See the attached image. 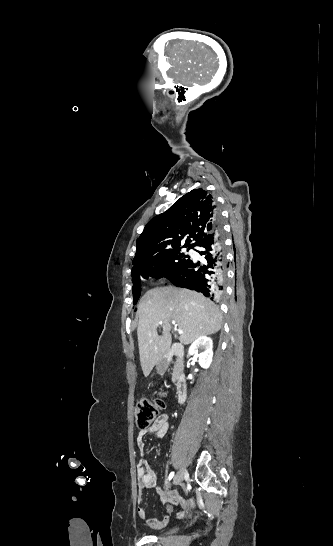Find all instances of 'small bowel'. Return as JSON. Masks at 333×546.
Instances as JSON below:
<instances>
[{
	"instance_id": "small-bowel-1",
	"label": "small bowel",
	"mask_w": 333,
	"mask_h": 546,
	"mask_svg": "<svg viewBox=\"0 0 333 546\" xmlns=\"http://www.w3.org/2000/svg\"><path fill=\"white\" fill-rule=\"evenodd\" d=\"M169 429V416L167 414H161L158 416L151 426L145 430L139 432L137 436V446L141 453L144 455L145 452V435L153 433L158 438H163ZM137 478H138V487L139 494L137 496V514L139 518L144 521L147 525L154 529L164 527L169 521V515L174 512V506H179L182 510L177 513L179 517L184 516L185 512L190 509L192 506V501L182 497L178 492L167 491L162 492L161 494V503L165 506V513L160 517H148L145 508L142 506V494L141 491L145 488L151 489L156 488L157 478L154 471L149 467L146 460L142 458L137 465Z\"/></svg>"
}]
</instances>
